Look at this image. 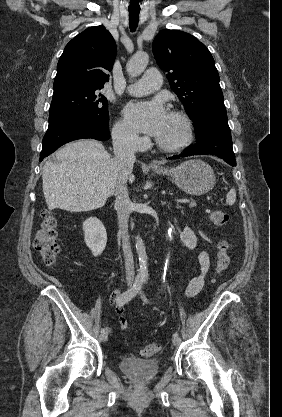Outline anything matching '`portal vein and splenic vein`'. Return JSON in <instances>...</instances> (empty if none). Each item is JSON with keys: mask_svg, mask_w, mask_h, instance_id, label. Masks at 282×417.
<instances>
[{"mask_svg": "<svg viewBox=\"0 0 282 417\" xmlns=\"http://www.w3.org/2000/svg\"><path fill=\"white\" fill-rule=\"evenodd\" d=\"M212 200V198H211ZM173 203H189L190 199L189 198H173L172 199Z\"/></svg>", "mask_w": 282, "mask_h": 417, "instance_id": "18ae733b", "label": "portal vein and splenic vein"}]
</instances>
